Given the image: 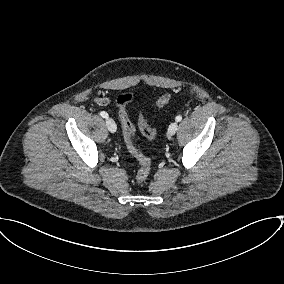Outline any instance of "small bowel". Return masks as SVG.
Returning a JSON list of instances; mask_svg holds the SVG:
<instances>
[{"mask_svg": "<svg viewBox=\"0 0 284 284\" xmlns=\"http://www.w3.org/2000/svg\"><path fill=\"white\" fill-rule=\"evenodd\" d=\"M95 102L98 105L104 106L110 102V99L107 96H98L95 98Z\"/></svg>", "mask_w": 284, "mask_h": 284, "instance_id": "1", "label": "small bowel"}]
</instances>
